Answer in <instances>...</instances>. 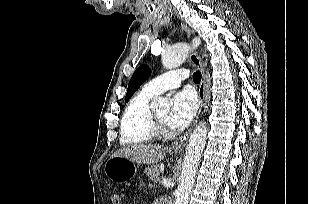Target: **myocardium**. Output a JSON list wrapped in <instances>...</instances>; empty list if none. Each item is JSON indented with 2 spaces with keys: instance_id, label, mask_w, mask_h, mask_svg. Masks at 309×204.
Listing matches in <instances>:
<instances>
[{
  "instance_id": "f54148a6",
  "label": "myocardium",
  "mask_w": 309,
  "mask_h": 204,
  "mask_svg": "<svg viewBox=\"0 0 309 204\" xmlns=\"http://www.w3.org/2000/svg\"><path fill=\"white\" fill-rule=\"evenodd\" d=\"M152 123L158 132H164L168 129L167 123L162 122L154 112H151Z\"/></svg>"
}]
</instances>
